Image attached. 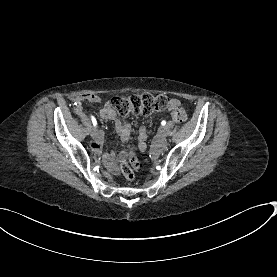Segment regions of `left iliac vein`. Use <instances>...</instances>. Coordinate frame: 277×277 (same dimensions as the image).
Returning a JSON list of instances; mask_svg holds the SVG:
<instances>
[{"label":"left iliac vein","instance_id":"1","mask_svg":"<svg viewBox=\"0 0 277 277\" xmlns=\"http://www.w3.org/2000/svg\"><path fill=\"white\" fill-rule=\"evenodd\" d=\"M160 136L162 139H165L166 136H167V131L165 128H162L161 131H160Z\"/></svg>","mask_w":277,"mask_h":277}]
</instances>
